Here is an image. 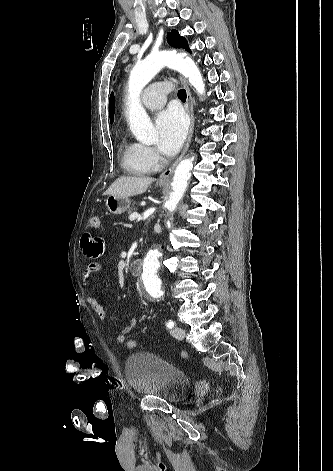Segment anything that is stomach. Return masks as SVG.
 Instances as JSON below:
<instances>
[{"mask_svg":"<svg viewBox=\"0 0 333 471\" xmlns=\"http://www.w3.org/2000/svg\"><path fill=\"white\" fill-rule=\"evenodd\" d=\"M159 186L163 187L165 184L159 183ZM105 202L108 211L116 215L124 213L131 204V201L128 197H119L115 195H109Z\"/></svg>","mask_w":333,"mask_h":471,"instance_id":"1","label":"stomach"}]
</instances>
